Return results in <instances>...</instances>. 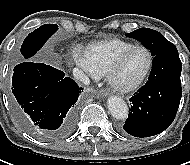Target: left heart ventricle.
I'll return each mask as SVG.
<instances>
[{
	"label": "left heart ventricle",
	"mask_w": 190,
	"mask_h": 165,
	"mask_svg": "<svg viewBox=\"0 0 190 165\" xmlns=\"http://www.w3.org/2000/svg\"><path fill=\"white\" fill-rule=\"evenodd\" d=\"M149 62L148 54L143 49H135L130 52L116 76L121 84H131L137 81L145 72Z\"/></svg>",
	"instance_id": "b2bd125f"
}]
</instances>
